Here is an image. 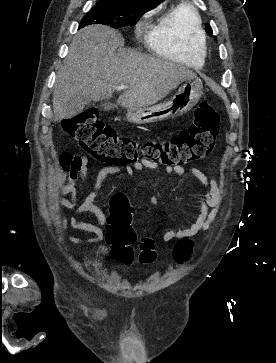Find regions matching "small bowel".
Returning <instances> with one entry per match:
<instances>
[{
    "instance_id": "small-bowel-1",
    "label": "small bowel",
    "mask_w": 276,
    "mask_h": 363,
    "mask_svg": "<svg viewBox=\"0 0 276 363\" xmlns=\"http://www.w3.org/2000/svg\"><path fill=\"white\" fill-rule=\"evenodd\" d=\"M88 162L87 156L82 154H71L65 152L60 157V179L64 182L58 191L63 197L59 199V204L65 208L72 209L76 207L77 196L82 192V188L77 185L78 181L84 182L88 175ZM158 164L150 160H142L134 164L125 165L124 168L119 167H105L101 169L96 177L93 190L86 196L84 201L76 207V215L72 216L69 221L62 218L63 228L66 229L68 223L75 229H80L92 234L91 237L82 238L71 236L68 241L72 244H98L103 239V231L100 226L107 222L106 213L94 203L98 192L109 175L119 174L124 172L131 176L134 170L143 169H156ZM165 171L168 174L175 173L189 183L186 176L185 169L182 166H166ZM192 173L206 188L205 195H198L200 201V213L195 222L185 228H172L164 232L162 240L165 243L175 239L195 235L199 232L207 230L211 223L218 215L220 205L222 203V192L213 178H208L202 171L197 168H192ZM110 205L113 210L127 212L130 217L133 216L134 210L129 205L123 193H115L110 198ZM83 213H91L98 221L99 225L83 221L78 218V215ZM107 252L106 247L97 245L88 252L80 255L81 259H87L94 255L103 256Z\"/></svg>"
}]
</instances>
